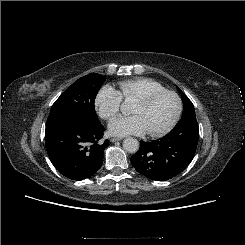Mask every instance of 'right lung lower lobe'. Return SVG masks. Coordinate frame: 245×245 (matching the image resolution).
I'll return each mask as SVG.
<instances>
[{"mask_svg": "<svg viewBox=\"0 0 245 245\" xmlns=\"http://www.w3.org/2000/svg\"><path fill=\"white\" fill-rule=\"evenodd\" d=\"M104 130L102 124L89 126L66 120L46 124L45 143L52 164L69 179L91 177L101 167L109 145L108 140L100 142Z\"/></svg>", "mask_w": 245, "mask_h": 245, "instance_id": "right-lung-lower-lobe-1", "label": "right lung lower lobe"}]
</instances>
